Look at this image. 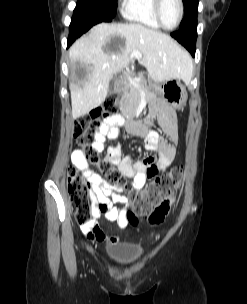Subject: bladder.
Masks as SVG:
<instances>
[{
    "label": "bladder",
    "mask_w": 247,
    "mask_h": 304,
    "mask_svg": "<svg viewBox=\"0 0 247 304\" xmlns=\"http://www.w3.org/2000/svg\"><path fill=\"white\" fill-rule=\"evenodd\" d=\"M105 253L107 258L115 265L130 267L141 260L144 250L138 246L113 244L106 247Z\"/></svg>",
    "instance_id": "obj_1"
}]
</instances>
